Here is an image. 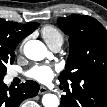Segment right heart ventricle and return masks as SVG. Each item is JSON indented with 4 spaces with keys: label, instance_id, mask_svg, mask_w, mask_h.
<instances>
[{
    "label": "right heart ventricle",
    "instance_id": "1",
    "mask_svg": "<svg viewBox=\"0 0 107 107\" xmlns=\"http://www.w3.org/2000/svg\"><path fill=\"white\" fill-rule=\"evenodd\" d=\"M42 37L48 46H53L57 43L62 44L64 41V37L62 32L53 25H46L41 29Z\"/></svg>",
    "mask_w": 107,
    "mask_h": 107
}]
</instances>
